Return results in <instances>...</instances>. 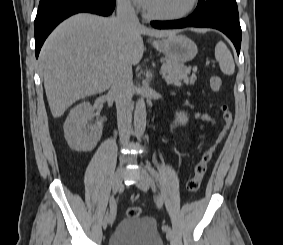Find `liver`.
Instances as JSON below:
<instances>
[{"instance_id": "1", "label": "liver", "mask_w": 283, "mask_h": 245, "mask_svg": "<svg viewBox=\"0 0 283 245\" xmlns=\"http://www.w3.org/2000/svg\"><path fill=\"white\" fill-rule=\"evenodd\" d=\"M141 35L162 38L175 32L87 13L62 22L49 35L39 55L52 116L61 117L77 100L108 90L119 65H137L144 53Z\"/></svg>"}]
</instances>
